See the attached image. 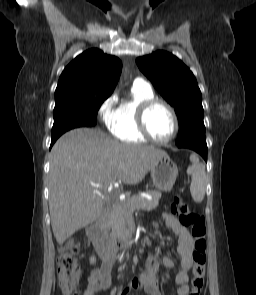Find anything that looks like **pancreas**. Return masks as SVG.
I'll use <instances>...</instances> for the list:
<instances>
[{
	"label": "pancreas",
	"mask_w": 256,
	"mask_h": 295,
	"mask_svg": "<svg viewBox=\"0 0 256 295\" xmlns=\"http://www.w3.org/2000/svg\"><path fill=\"white\" fill-rule=\"evenodd\" d=\"M146 193L152 196L151 200L134 195L115 203L105 223V229L114 244L124 242L129 236L127 225L133 220L135 210L151 211L158 206L161 193L155 190H147Z\"/></svg>",
	"instance_id": "obj_1"
}]
</instances>
